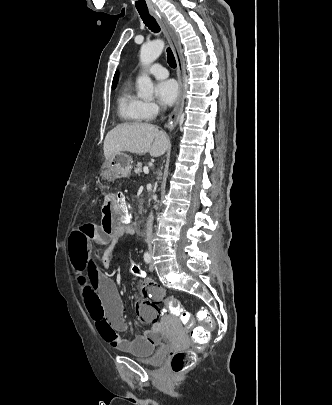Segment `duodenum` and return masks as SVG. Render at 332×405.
Here are the masks:
<instances>
[{
  "label": "duodenum",
  "mask_w": 332,
  "mask_h": 405,
  "mask_svg": "<svg viewBox=\"0 0 332 405\" xmlns=\"http://www.w3.org/2000/svg\"><path fill=\"white\" fill-rule=\"evenodd\" d=\"M128 226V232H134L138 226L137 222L130 223Z\"/></svg>",
  "instance_id": "1"
}]
</instances>
